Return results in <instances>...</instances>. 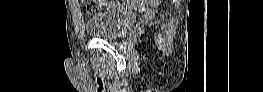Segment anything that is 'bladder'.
<instances>
[{
    "label": "bladder",
    "mask_w": 263,
    "mask_h": 92,
    "mask_svg": "<svg viewBox=\"0 0 263 92\" xmlns=\"http://www.w3.org/2000/svg\"><path fill=\"white\" fill-rule=\"evenodd\" d=\"M135 19L134 11L110 6L88 17L85 29L95 38L114 40L130 29Z\"/></svg>",
    "instance_id": "obj_1"
}]
</instances>
